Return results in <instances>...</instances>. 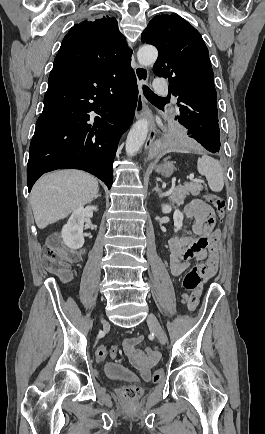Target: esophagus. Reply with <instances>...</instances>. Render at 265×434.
Here are the masks:
<instances>
[{"label": "esophagus", "mask_w": 265, "mask_h": 434, "mask_svg": "<svg viewBox=\"0 0 265 434\" xmlns=\"http://www.w3.org/2000/svg\"><path fill=\"white\" fill-rule=\"evenodd\" d=\"M135 76L137 79V85L139 91L137 97V106L135 109V117L137 119L146 118L148 121L149 134L145 143V149H149L156 136L155 121L149 107L145 103V98L143 95V85L148 82L149 71L147 70V68L141 65H137L135 67Z\"/></svg>", "instance_id": "obj_1"}]
</instances>
